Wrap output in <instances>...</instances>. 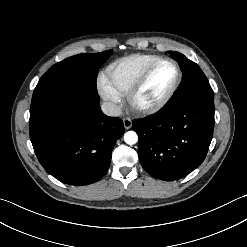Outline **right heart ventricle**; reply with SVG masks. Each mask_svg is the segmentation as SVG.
Segmentation results:
<instances>
[{
    "instance_id": "1",
    "label": "right heart ventricle",
    "mask_w": 247,
    "mask_h": 247,
    "mask_svg": "<svg viewBox=\"0 0 247 247\" xmlns=\"http://www.w3.org/2000/svg\"><path fill=\"white\" fill-rule=\"evenodd\" d=\"M155 54H132L118 59L106 69V77L120 96L126 95L143 71L155 60Z\"/></svg>"
}]
</instances>
